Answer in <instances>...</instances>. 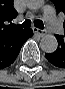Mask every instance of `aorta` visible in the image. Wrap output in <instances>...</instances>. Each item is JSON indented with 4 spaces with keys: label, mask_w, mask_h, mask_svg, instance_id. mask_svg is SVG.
<instances>
[{
    "label": "aorta",
    "mask_w": 65,
    "mask_h": 89,
    "mask_svg": "<svg viewBox=\"0 0 65 89\" xmlns=\"http://www.w3.org/2000/svg\"><path fill=\"white\" fill-rule=\"evenodd\" d=\"M30 7L33 9L40 8L42 2L36 0L29 3ZM58 41L56 37L52 34H45L40 40V48L46 53H53L57 50Z\"/></svg>",
    "instance_id": "obj_1"
}]
</instances>
